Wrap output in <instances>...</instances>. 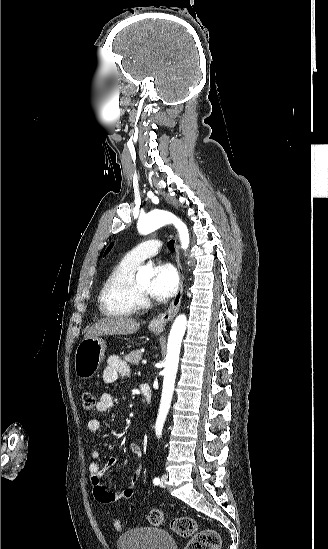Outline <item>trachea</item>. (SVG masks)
Masks as SVG:
<instances>
[{"label":"trachea","mask_w":328,"mask_h":549,"mask_svg":"<svg viewBox=\"0 0 328 549\" xmlns=\"http://www.w3.org/2000/svg\"><path fill=\"white\" fill-rule=\"evenodd\" d=\"M168 248H169L170 250H175V248H174V240H173V239L170 240V241L168 242Z\"/></svg>","instance_id":"3493384b"}]
</instances>
